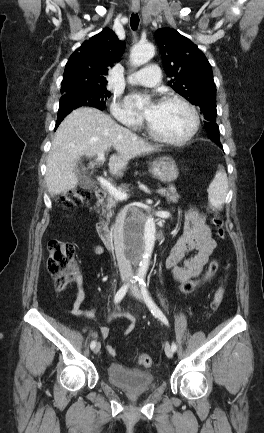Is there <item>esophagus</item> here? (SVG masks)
I'll return each instance as SVG.
<instances>
[{"label": "esophagus", "instance_id": "obj_1", "mask_svg": "<svg viewBox=\"0 0 264 433\" xmlns=\"http://www.w3.org/2000/svg\"><path fill=\"white\" fill-rule=\"evenodd\" d=\"M139 9H140V4H139V2H138V1H134V2L132 3V11H134V12H138Z\"/></svg>", "mask_w": 264, "mask_h": 433}]
</instances>
